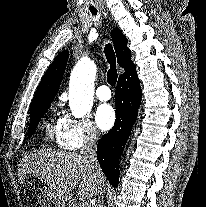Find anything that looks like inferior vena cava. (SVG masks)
Segmentation results:
<instances>
[{
    "label": "inferior vena cava",
    "instance_id": "obj_1",
    "mask_svg": "<svg viewBox=\"0 0 206 207\" xmlns=\"http://www.w3.org/2000/svg\"><path fill=\"white\" fill-rule=\"evenodd\" d=\"M98 141V135L94 130H91L84 140V144L80 151L81 156L86 160L89 169L92 172L94 185L97 191L98 197L96 205H89L88 207H102L103 190L101 185V169L97 160L96 144Z\"/></svg>",
    "mask_w": 206,
    "mask_h": 207
}]
</instances>
